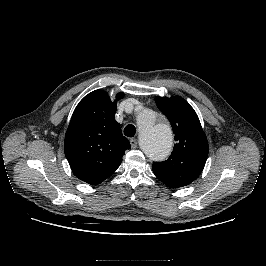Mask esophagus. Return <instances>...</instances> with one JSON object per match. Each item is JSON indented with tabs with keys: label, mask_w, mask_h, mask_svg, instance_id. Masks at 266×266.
Segmentation results:
<instances>
[{
	"label": "esophagus",
	"mask_w": 266,
	"mask_h": 266,
	"mask_svg": "<svg viewBox=\"0 0 266 266\" xmlns=\"http://www.w3.org/2000/svg\"><path fill=\"white\" fill-rule=\"evenodd\" d=\"M130 144H131V148H136L137 147V139L132 138L130 139Z\"/></svg>",
	"instance_id": "obj_1"
}]
</instances>
